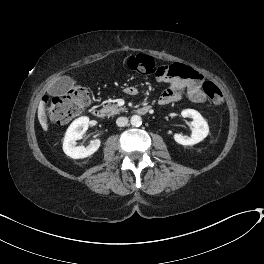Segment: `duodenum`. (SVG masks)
I'll list each match as a JSON object with an SVG mask.
<instances>
[{
	"label": "duodenum",
	"instance_id": "obj_1",
	"mask_svg": "<svg viewBox=\"0 0 264 264\" xmlns=\"http://www.w3.org/2000/svg\"><path fill=\"white\" fill-rule=\"evenodd\" d=\"M150 107L147 105H142L140 107L137 108V114L139 115H144L146 114L148 111H150ZM93 115L94 117H96L97 119H102L105 116V111L103 108L100 107H96L93 109Z\"/></svg>",
	"mask_w": 264,
	"mask_h": 264
}]
</instances>
